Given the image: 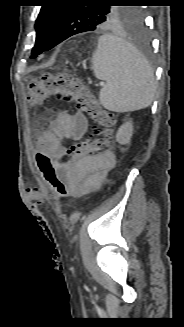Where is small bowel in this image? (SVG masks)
<instances>
[{
  "label": "small bowel",
  "mask_w": 184,
  "mask_h": 327,
  "mask_svg": "<svg viewBox=\"0 0 184 327\" xmlns=\"http://www.w3.org/2000/svg\"><path fill=\"white\" fill-rule=\"evenodd\" d=\"M89 121L80 112L71 114L62 112L51 123L39 140L38 153H54L55 157L64 160L63 182H68L72 196H79L88 191L97 189L106 175L113 169L116 157L113 152L105 151L96 156L91 153H64L63 140H81L87 133ZM65 160H83L76 165ZM38 164V163H37ZM38 164V165H53ZM24 194L29 199H36V206L46 205V193L41 188H25Z\"/></svg>",
  "instance_id": "small-bowel-1"
}]
</instances>
